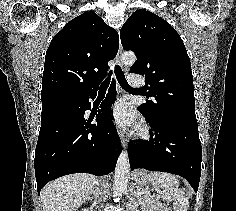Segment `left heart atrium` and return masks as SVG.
I'll return each mask as SVG.
<instances>
[{"label": "left heart atrium", "mask_w": 236, "mask_h": 211, "mask_svg": "<svg viewBox=\"0 0 236 211\" xmlns=\"http://www.w3.org/2000/svg\"><path fill=\"white\" fill-rule=\"evenodd\" d=\"M112 114L114 119L123 126H129L134 123L133 112L124 99L118 101L112 108Z\"/></svg>", "instance_id": "1"}]
</instances>
